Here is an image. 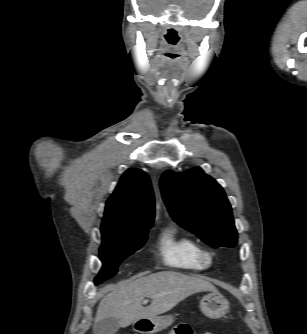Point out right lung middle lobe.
I'll list each match as a JSON object with an SVG mask.
<instances>
[{
    "mask_svg": "<svg viewBox=\"0 0 307 334\" xmlns=\"http://www.w3.org/2000/svg\"><path fill=\"white\" fill-rule=\"evenodd\" d=\"M149 228L102 234L100 259L103 267L95 278L96 285L114 276L120 263L143 246Z\"/></svg>",
    "mask_w": 307,
    "mask_h": 334,
    "instance_id": "right-lung-middle-lobe-1",
    "label": "right lung middle lobe"
}]
</instances>
